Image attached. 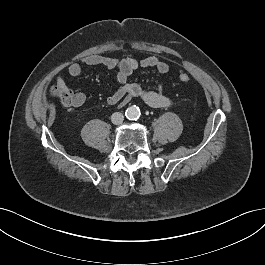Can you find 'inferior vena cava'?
<instances>
[{
	"mask_svg": "<svg viewBox=\"0 0 265 265\" xmlns=\"http://www.w3.org/2000/svg\"><path fill=\"white\" fill-rule=\"evenodd\" d=\"M123 120H124V116H123V114L120 113V112H115V113H113L112 116H111V121H112V123L115 124V125H119V124H121V123L123 122Z\"/></svg>",
	"mask_w": 265,
	"mask_h": 265,
	"instance_id": "obj_1",
	"label": "inferior vena cava"
}]
</instances>
